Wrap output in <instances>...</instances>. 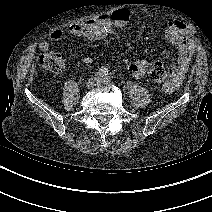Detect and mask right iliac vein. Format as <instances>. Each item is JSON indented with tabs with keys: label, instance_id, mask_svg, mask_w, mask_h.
I'll use <instances>...</instances> for the list:
<instances>
[{
	"label": "right iliac vein",
	"instance_id": "obj_1",
	"mask_svg": "<svg viewBox=\"0 0 212 212\" xmlns=\"http://www.w3.org/2000/svg\"><path fill=\"white\" fill-rule=\"evenodd\" d=\"M97 82H98V79H97L96 77L90 78V79L86 82V88H87V89L93 88L94 85H96Z\"/></svg>",
	"mask_w": 212,
	"mask_h": 212
}]
</instances>
